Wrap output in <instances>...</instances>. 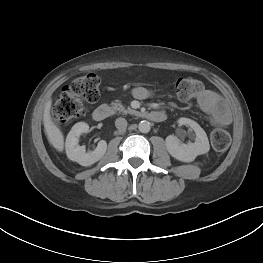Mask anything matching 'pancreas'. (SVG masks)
I'll use <instances>...</instances> for the list:
<instances>
[{"instance_id":"1","label":"pancreas","mask_w":263,"mask_h":263,"mask_svg":"<svg viewBox=\"0 0 263 263\" xmlns=\"http://www.w3.org/2000/svg\"><path fill=\"white\" fill-rule=\"evenodd\" d=\"M111 108L114 112L119 111V112H123L124 114H127V113L136 114L137 113V111H135L131 108L125 109L123 107V105L118 100L111 103Z\"/></svg>"}]
</instances>
